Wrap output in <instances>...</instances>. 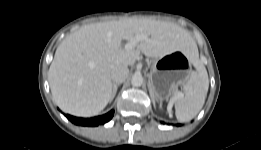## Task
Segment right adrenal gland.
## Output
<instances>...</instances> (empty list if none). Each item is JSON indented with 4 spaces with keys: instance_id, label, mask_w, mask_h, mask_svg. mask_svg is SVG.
<instances>
[{
    "instance_id": "1",
    "label": "right adrenal gland",
    "mask_w": 261,
    "mask_h": 150,
    "mask_svg": "<svg viewBox=\"0 0 261 150\" xmlns=\"http://www.w3.org/2000/svg\"><path fill=\"white\" fill-rule=\"evenodd\" d=\"M120 84H113V90H112V95H111V98H110V101L115 97L116 95V92H117V88Z\"/></svg>"
}]
</instances>
